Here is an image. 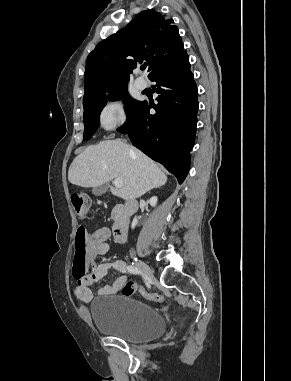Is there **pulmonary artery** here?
<instances>
[{
  "label": "pulmonary artery",
  "mask_w": 291,
  "mask_h": 381,
  "mask_svg": "<svg viewBox=\"0 0 291 381\" xmlns=\"http://www.w3.org/2000/svg\"><path fill=\"white\" fill-rule=\"evenodd\" d=\"M134 85L138 90H144L147 86V83L144 79H142L141 77H138L135 79Z\"/></svg>",
  "instance_id": "pulmonary-artery-1"
}]
</instances>
